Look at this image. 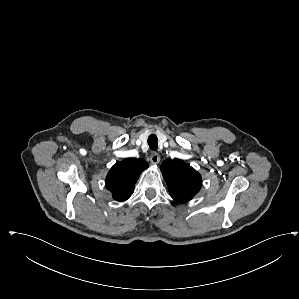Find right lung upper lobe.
Wrapping results in <instances>:
<instances>
[{
  "mask_svg": "<svg viewBox=\"0 0 299 299\" xmlns=\"http://www.w3.org/2000/svg\"><path fill=\"white\" fill-rule=\"evenodd\" d=\"M147 167L148 163L144 159L134 158H127L113 165L105 180L112 197L119 202L127 200L132 195L141 172Z\"/></svg>",
  "mask_w": 299,
  "mask_h": 299,
  "instance_id": "1",
  "label": "right lung upper lobe"
}]
</instances>
